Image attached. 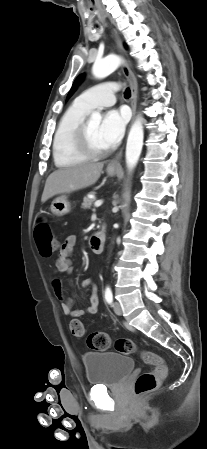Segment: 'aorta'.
<instances>
[{"label":"aorta","instance_id":"aorta-1","mask_svg":"<svg viewBox=\"0 0 207 449\" xmlns=\"http://www.w3.org/2000/svg\"><path fill=\"white\" fill-rule=\"evenodd\" d=\"M121 59L117 55H109L104 59L95 61L92 73L96 78H105L113 73L120 65ZM102 120L100 113L94 112L89 123L99 125ZM143 125L141 118H137L131 126L126 145V164L132 170L138 163L143 147Z\"/></svg>","mask_w":207,"mask_h":449}]
</instances>
